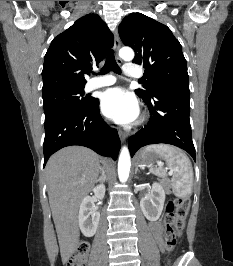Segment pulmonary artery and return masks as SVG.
<instances>
[{"label":"pulmonary artery","instance_id":"pulmonary-artery-1","mask_svg":"<svg viewBox=\"0 0 233 266\" xmlns=\"http://www.w3.org/2000/svg\"><path fill=\"white\" fill-rule=\"evenodd\" d=\"M124 74L129 77H140L142 73L138 70L137 66L134 64H127L124 66ZM116 82V78L112 75H104L101 77H96L90 80L86 84V90L91 91L101 87H106L113 85Z\"/></svg>","mask_w":233,"mask_h":266}]
</instances>
